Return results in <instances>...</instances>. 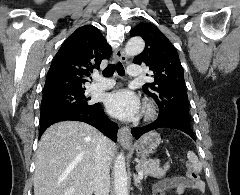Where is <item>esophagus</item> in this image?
Listing matches in <instances>:
<instances>
[{"mask_svg":"<svg viewBox=\"0 0 240 195\" xmlns=\"http://www.w3.org/2000/svg\"><path fill=\"white\" fill-rule=\"evenodd\" d=\"M127 60V57L125 55L124 49L122 47H119L114 51L113 54V61L114 62H125ZM132 135L128 127H121L118 130V141L123 147H129L132 142Z\"/></svg>","mask_w":240,"mask_h":195,"instance_id":"obj_1","label":"esophagus"}]
</instances>
